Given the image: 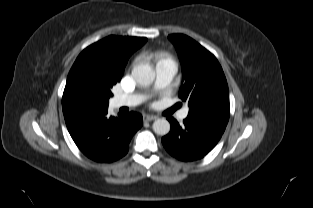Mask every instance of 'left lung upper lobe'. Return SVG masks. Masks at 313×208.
<instances>
[{
	"mask_svg": "<svg viewBox=\"0 0 313 208\" xmlns=\"http://www.w3.org/2000/svg\"><path fill=\"white\" fill-rule=\"evenodd\" d=\"M168 38L175 45L182 65L183 85L179 97L188 102L189 117L227 125L229 90L223 70L207 49L183 34Z\"/></svg>",
	"mask_w": 313,
	"mask_h": 208,
	"instance_id": "5c2ea615",
	"label": "left lung upper lobe"
}]
</instances>
